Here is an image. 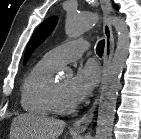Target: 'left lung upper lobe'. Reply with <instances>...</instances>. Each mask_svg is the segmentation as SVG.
<instances>
[{"label":"left lung upper lobe","instance_id":"obj_1","mask_svg":"<svg viewBox=\"0 0 141 139\" xmlns=\"http://www.w3.org/2000/svg\"><path fill=\"white\" fill-rule=\"evenodd\" d=\"M117 9V7H115ZM57 23L56 17H49L46 19L34 32L31 40L29 41L25 57H24V64L28 61L31 54L34 50L48 37V35L53 31L55 25Z\"/></svg>","mask_w":141,"mask_h":139}]
</instances>
